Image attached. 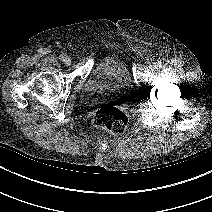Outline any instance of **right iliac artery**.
<instances>
[{
	"instance_id": "right-iliac-artery-1",
	"label": "right iliac artery",
	"mask_w": 212,
	"mask_h": 212,
	"mask_svg": "<svg viewBox=\"0 0 212 212\" xmlns=\"http://www.w3.org/2000/svg\"><path fill=\"white\" fill-rule=\"evenodd\" d=\"M65 58H66V55H65V54H61V55L59 56V59H60L61 61H64Z\"/></svg>"
}]
</instances>
